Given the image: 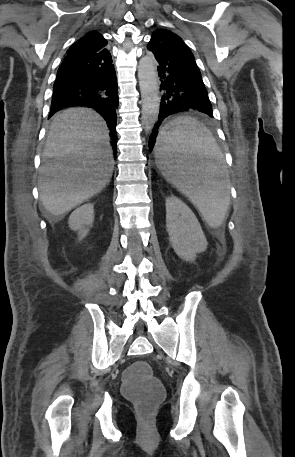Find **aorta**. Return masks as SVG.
Returning <instances> with one entry per match:
<instances>
[{"label": "aorta", "instance_id": "obj_1", "mask_svg": "<svg viewBox=\"0 0 295 457\" xmlns=\"http://www.w3.org/2000/svg\"><path fill=\"white\" fill-rule=\"evenodd\" d=\"M138 79L142 100L141 123L145 131H150L158 120L160 97L156 61L147 54L139 61Z\"/></svg>", "mask_w": 295, "mask_h": 457}]
</instances>
